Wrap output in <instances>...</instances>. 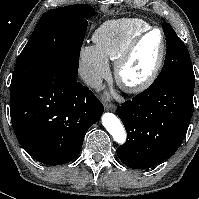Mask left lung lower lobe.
Instances as JSON below:
<instances>
[{
	"label": "left lung lower lobe",
	"instance_id": "obj_1",
	"mask_svg": "<svg viewBox=\"0 0 199 199\" xmlns=\"http://www.w3.org/2000/svg\"><path fill=\"white\" fill-rule=\"evenodd\" d=\"M195 80L150 86L117 109L128 140L117 148L128 167L145 169L171 157L183 142L193 115Z\"/></svg>",
	"mask_w": 199,
	"mask_h": 199
}]
</instances>
